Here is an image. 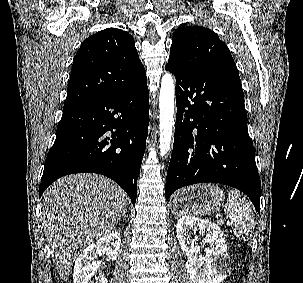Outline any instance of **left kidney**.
Segmentation results:
<instances>
[{
    "label": "left kidney",
    "instance_id": "left-kidney-1",
    "mask_svg": "<svg viewBox=\"0 0 303 283\" xmlns=\"http://www.w3.org/2000/svg\"><path fill=\"white\" fill-rule=\"evenodd\" d=\"M197 231L206 234L208 247L205 249V257L199 255ZM176 232L181 250L188 257L185 267L193 283H221L230 272L231 260L227 253L225 236L219 226L206 220L184 216L178 220Z\"/></svg>",
    "mask_w": 303,
    "mask_h": 283
}]
</instances>
